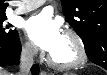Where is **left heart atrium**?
Listing matches in <instances>:
<instances>
[{
	"label": "left heart atrium",
	"mask_w": 107,
	"mask_h": 75,
	"mask_svg": "<svg viewBox=\"0 0 107 75\" xmlns=\"http://www.w3.org/2000/svg\"><path fill=\"white\" fill-rule=\"evenodd\" d=\"M25 30L36 45L49 53L55 51L63 36L60 23L48 11L30 17Z\"/></svg>",
	"instance_id": "left-heart-atrium-1"
}]
</instances>
